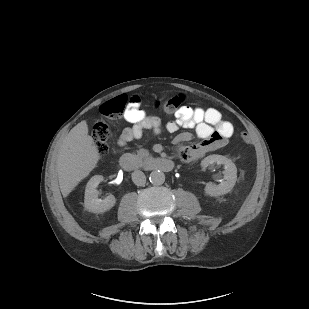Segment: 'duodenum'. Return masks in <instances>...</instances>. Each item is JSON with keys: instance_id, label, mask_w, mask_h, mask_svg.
<instances>
[{"instance_id": "410a0bca", "label": "duodenum", "mask_w": 309, "mask_h": 309, "mask_svg": "<svg viewBox=\"0 0 309 309\" xmlns=\"http://www.w3.org/2000/svg\"><path fill=\"white\" fill-rule=\"evenodd\" d=\"M120 166L127 171H133L140 167L137 160L130 154H124L119 160ZM145 168L160 171V172H170L172 171L174 165L170 159L151 157L147 159L143 164Z\"/></svg>"}]
</instances>
